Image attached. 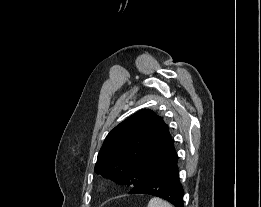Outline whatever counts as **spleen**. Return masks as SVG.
<instances>
[{"instance_id": "1", "label": "spleen", "mask_w": 261, "mask_h": 207, "mask_svg": "<svg viewBox=\"0 0 261 207\" xmlns=\"http://www.w3.org/2000/svg\"><path fill=\"white\" fill-rule=\"evenodd\" d=\"M147 207H173L168 202L160 199V198H152Z\"/></svg>"}]
</instances>
